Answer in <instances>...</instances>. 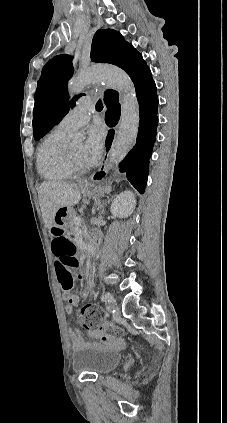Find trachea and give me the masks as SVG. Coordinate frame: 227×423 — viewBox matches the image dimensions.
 <instances>
[{
  "label": "trachea",
  "instance_id": "1",
  "mask_svg": "<svg viewBox=\"0 0 227 423\" xmlns=\"http://www.w3.org/2000/svg\"><path fill=\"white\" fill-rule=\"evenodd\" d=\"M102 109H103L102 101L98 100V102L96 103V110L101 111Z\"/></svg>",
  "mask_w": 227,
  "mask_h": 423
}]
</instances>
